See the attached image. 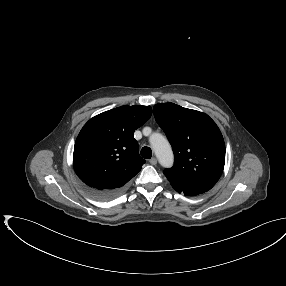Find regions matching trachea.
<instances>
[{"instance_id": "obj_1", "label": "trachea", "mask_w": 286, "mask_h": 286, "mask_svg": "<svg viewBox=\"0 0 286 286\" xmlns=\"http://www.w3.org/2000/svg\"><path fill=\"white\" fill-rule=\"evenodd\" d=\"M141 155L145 159H150L152 157V150L149 147L145 146L141 149Z\"/></svg>"}]
</instances>
